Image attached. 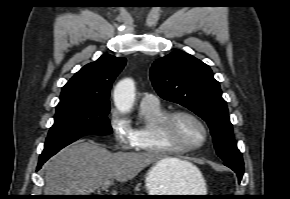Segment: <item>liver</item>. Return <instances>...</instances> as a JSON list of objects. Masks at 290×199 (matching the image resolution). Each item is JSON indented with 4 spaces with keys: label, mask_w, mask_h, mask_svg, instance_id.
Here are the masks:
<instances>
[{
    "label": "liver",
    "mask_w": 290,
    "mask_h": 199,
    "mask_svg": "<svg viewBox=\"0 0 290 199\" xmlns=\"http://www.w3.org/2000/svg\"><path fill=\"white\" fill-rule=\"evenodd\" d=\"M162 162L171 171L199 172L188 161L150 152L111 153L92 140H78L45 165V195H90L105 181L127 182L150 164Z\"/></svg>",
    "instance_id": "liver-1"
}]
</instances>
